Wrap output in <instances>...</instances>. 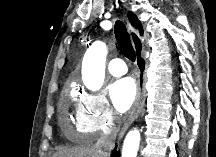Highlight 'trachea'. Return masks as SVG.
Wrapping results in <instances>:
<instances>
[{"label":"trachea","instance_id":"obj_1","mask_svg":"<svg viewBox=\"0 0 216 157\" xmlns=\"http://www.w3.org/2000/svg\"><path fill=\"white\" fill-rule=\"evenodd\" d=\"M115 37L118 43V46L120 48L121 53L130 61L134 62L136 59V53L132 46L130 36L127 32V29L123 22L116 21L115 27H114ZM136 48L141 51V42L136 37ZM141 61L144 63V60L141 58Z\"/></svg>","mask_w":216,"mask_h":157}]
</instances>
